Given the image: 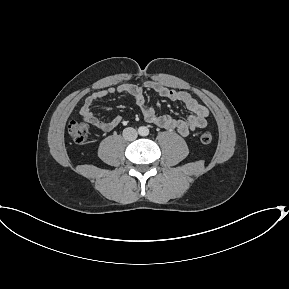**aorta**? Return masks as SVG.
Returning <instances> with one entry per match:
<instances>
[{
  "mask_svg": "<svg viewBox=\"0 0 289 289\" xmlns=\"http://www.w3.org/2000/svg\"><path fill=\"white\" fill-rule=\"evenodd\" d=\"M140 134L145 136L148 134V129L146 127H141L140 128Z\"/></svg>",
  "mask_w": 289,
  "mask_h": 289,
  "instance_id": "aorta-1",
  "label": "aorta"
}]
</instances>
